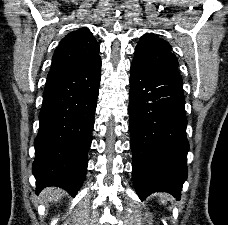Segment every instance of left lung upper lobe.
Returning a JSON list of instances; mask_svg holds the SVG:
<instances>
[{"mask_svg":"<svg viewBox=\"0 0 228 225\" xmlns=\"http://www.w3.org/2000/svg\"><path fill=\"white\" fill-rule=\"evenodd\" d=\"M133 60L160 72H171L179 74L178 61L171 52L170 44L155 34L142 36L135 49Z\"/></svg>","mask_w":228,"mask_h":225,"instance_id":"left-lung-upper-lobe-1","label":"left lung upper lobe"}]
</instances>
